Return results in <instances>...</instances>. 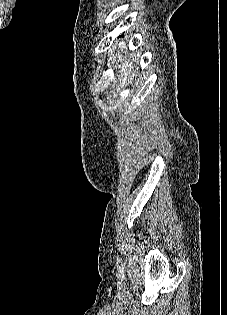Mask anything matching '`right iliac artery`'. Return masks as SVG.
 <instances>
[{"label": "right iliac artery", "mask_w": 227, "mask_h": 315, "mask_svg": "<svg viewBox=\"0 0 227 315\" xmlns=\"http://www.w3.org/2000/svg\"><path fill=\"white\" fill-rule=\"evenodd\" d=\"M117 265H118L119 269H121L123 267L122 260L119 259L118 257H117Z\"/></svg>", "instance_id": "obj_1"}]
</instances>
